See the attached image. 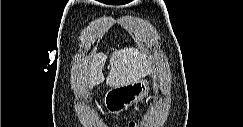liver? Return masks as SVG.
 <instances>
[{
    "instance_id": "1",
    "label": "liver",
    "mask_w": 243,
    "mask_h": 127,
    "mask_svg": "<svg viewBox=\"0 0 243 127\" xmlns=\"http://www.w3.org/2000/svg\"><path fill=\"white\" fill-rule=\"evenodd\" d=\"M92 56L86 76L89 88L104 82L103 67L107 59L102 52L93 53ZM109 64L110 72L106 78V84L110 87L138 81L153 70L147 55L133 47L114 50Z\"/></svg>"
}]
</instances>
